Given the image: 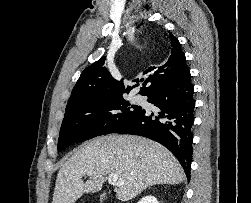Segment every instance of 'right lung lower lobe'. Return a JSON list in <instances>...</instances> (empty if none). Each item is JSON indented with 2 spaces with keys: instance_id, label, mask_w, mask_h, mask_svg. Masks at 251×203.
<instances>
[{
  "instance_id": "98d812e1",
  "label": "right lung lower lobe",
  "mask_w": 251,
  "mask_h": 203,
  "mask_svg": "<svg viewBox=\"0 0 251 203\" xmlns=\"http://www.w3.org/2000/svg\"><path fill=\"white\" fill-rule=\"evenodd\" d=\"M193 93L186 66L144 95L158 111L149 112L141 108L114 133L140 135L164 145L178 159L189 180L195 108Z\"/></svg>"
}]
</instances>
